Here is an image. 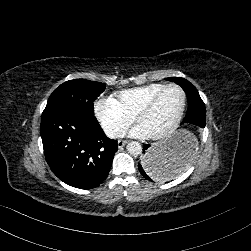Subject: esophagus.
Wrapping results in <instances>:
<instances>
[{
  "label": "esophagus",
  "mask_w": 251,
  "mask_h": 251,
  "mask_svg": "<svg viewBox=\"0 0 251 251\" xmlns=\"http://www.w3.org/2000/svg\"><path fill=\"white\" fill-rule=\"evenodd\" d=\"M126 144L125 140H119L118 141V148L121 149Z\"/></svg>",
  "instance_id": "34e87169"
}]
</instances>
